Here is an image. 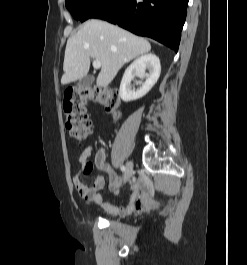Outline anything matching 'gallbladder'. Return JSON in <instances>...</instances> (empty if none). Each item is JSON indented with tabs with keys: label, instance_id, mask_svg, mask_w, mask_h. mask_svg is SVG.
Returning a JSON list of instances; mask_svg holds the SVG:
<instances>
[{
	"label": "gallbladder",
	"instance_id": "1",
	"mask_svg": "<svg viewBox=\"0 0 247 265\" xmlns=\"http://www.w3.org/2000/svg\"><path fill=\"white\" fill-rule=\"evenodd\" d=\"M93 82H94V76L86 75L78 81L77 86L80 88H86L91 86Z\"/></svg>",
	"mask_w": 247,
	"mask_h": 265
}]
</instances>
